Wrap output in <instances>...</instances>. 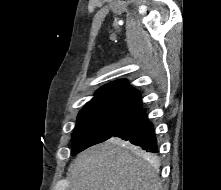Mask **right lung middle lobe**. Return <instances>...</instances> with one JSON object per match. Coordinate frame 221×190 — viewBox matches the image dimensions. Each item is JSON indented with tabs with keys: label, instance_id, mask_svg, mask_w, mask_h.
I'll use <instances>...</instances> for the list:
<instances>
[{
	"label": "right lung middle lobe",
	"instance_id": "obj_1",
	"mask_svg": "<svg viewBox=\"0 0 221 190\" xmlns=\"http://www.w3.org/2000/svg\"><path fill=\"white\" fill-rule=\"evenodd\" d=\"M137 111L115 105L84 106L72 136V155L113 137Z\"/></svg>",
	"mask_w": 221,
	"mask_h": 190
}]
</instances>
